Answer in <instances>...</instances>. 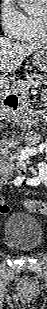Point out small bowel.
Listing matches in <instances>:
<instances>
[{
	"label": "small bowel",
	"instance_id": "obj_1",
	"mask_svg": "<svg viewBox=\"0 0 47 309\" xmlns=\"http://www.w3.org/2000/svg\"><path fill=\"white\" fill-rule=\"evenodd\" d=\"M14 143V139L6 140L3 143L0 188L45 185L47 183V164L40 162L35 165L34 161L46 151L47 145L40 143L23 147L12 153L11 148Z\"/></svg>",
	"mask_w": 47,
	"mask_h": 309
}]
</instances>
